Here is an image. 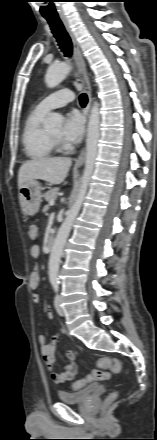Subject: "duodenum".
Returning a JSON list of instances; mask_svg holds the SVG:
<instances>
[{
	"label": "duodenum",
	"instance_id": "obj_1",
	"mask_svg": "<svg viewBox=\"0 0 157 440\" xmlns=\"http://www.w3.org/2000/svg\"><path fill=\"white\" fill-rule=\"evenodd\" d=\"M55 239L54 237H50L47 242V247L49 250H52L54 247Z\"/></svg>",
	"mask_w": 157,
	"mask_h": 440
}]
</instances>
